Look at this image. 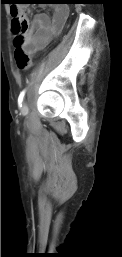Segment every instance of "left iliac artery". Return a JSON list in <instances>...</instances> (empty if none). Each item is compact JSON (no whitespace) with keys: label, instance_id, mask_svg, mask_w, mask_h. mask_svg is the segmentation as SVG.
<instances>
[{"label":"left iliac artery","instance_id":"obj_1","mask_svg":"<svg viewBox=\"0 0 122 257\" xmlns=\"http://www.w3.org/2000/svg\"><path fill=\"white\" fill-rule=\"evenodd\" d=\"M25 90H23L21 93H20V95H19V97H18V104H19V106H22V102H23V99H24V96H25Z\"/></svg>","mask_w":122,"mask_h":257}]
</instances>
